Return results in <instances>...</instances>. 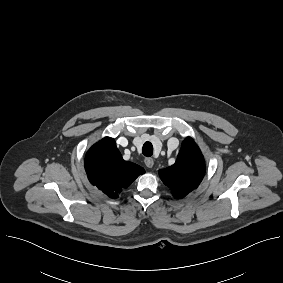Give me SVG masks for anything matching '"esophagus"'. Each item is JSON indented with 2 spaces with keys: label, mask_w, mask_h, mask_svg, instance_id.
Here are the masks:
<instances>
[{
  "label": "esophagus",
  "mask_w": 283,
  "mask_h": 283,
  "mask_svg": "<svg viewBox=\"0 0 283 283\" xmlns=\"http://www.w3.org/2000/svg\"><path fill=\"white\" fill-rule=\"evenodd\" d=\"M144 163L148 168H153L154 166V160L152 158H145Z\"/></svg>",
  "instance_id": "1"
}]
</instances>
